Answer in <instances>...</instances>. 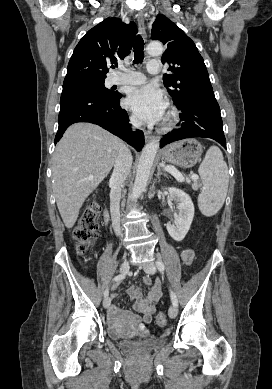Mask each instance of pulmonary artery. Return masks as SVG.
Instances as JSON below:
<instances>
[{
	"label": "pulmonary artery",
	"instance_id": "1",
	"mask_svg": "<svg viewBox=\"0 0 272 389\" xmlns=\"http://www.w3.org/2000/svg\"><path fill=\"white\" fill-rule=\"evenodd\" d=\"M161 65L158 61H150L147 65V71L150 74H157L160 72ZM146 81V77L143 73L137 71H128L125 73H119L112 78V83L140 85Z\"/></svg>",
	"mask_w": 272,
	"mask_h": 389
}]
</instances>
